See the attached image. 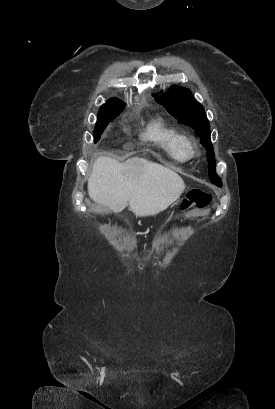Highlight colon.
Returning a JSON list of instances; mask_svg holds the SVG:
<instances>
[{
    "instance_id": "1",
    "label": "colon",
    "mask_w": 275,
    "mask_h": 409,
    "mask_svg": "<svg viewBox=\"0 0 275 409\" xmlns=\"http://www.w3.org/2000/svg\"><path fill=\"white\" fill-rule=\"evenodd\" d=\"M211 197L206 192L200 189L190 191L187 197L182 202V211H188L192 206L202 208L208 205Z\"/></svg>"
}]
</instances>
